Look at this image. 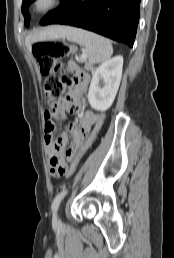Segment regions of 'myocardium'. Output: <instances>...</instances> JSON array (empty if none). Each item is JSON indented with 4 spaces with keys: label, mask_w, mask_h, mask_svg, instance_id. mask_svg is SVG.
<instances>
[{
    "label": "myocardium",
    "mask_w": 174,
    "mask_h": 258,
    "mask_svg": "<svg viewBox=\"0 0 174 258\" xmlns=\"http://www.w3.org/2000/svg\"><path fill=\"white\" fill-rule=\"evenodd\" d=\"M63 0H33L30 5L32 13L43 15L58 9Z\"/></svg>",
    "instance_id": "myocardium-1"
}]
</instances>
